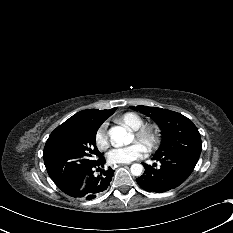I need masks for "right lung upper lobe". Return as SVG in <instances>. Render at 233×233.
<instances>
[{
	"label": "right lung upper lobe",
	"instance_id": "obj_1",
	"mask_svg": "<svg viewBox=\"0 0 233 233\" xmlns=\"http://www.w3.org/2000/svg\"><path fill=\"white\" fill-rule=\"evenodd\" d=\"M112 109L110 110L87 109L80 111L75 115H73L72 117H70L68 120H66L63 124L58 126L54 131L64 127L83 125L86 122L94 121L106 117L112 112Z\"/></svg>",
	"mask_w": 233,
	"mask_h": 233
}]
</instances>
